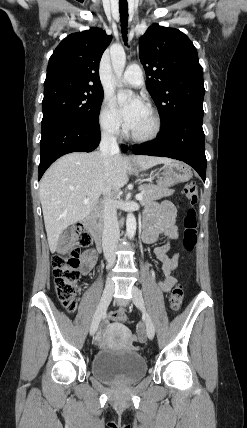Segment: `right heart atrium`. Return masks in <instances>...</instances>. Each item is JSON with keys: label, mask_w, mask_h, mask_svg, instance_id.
Masks as SVG:
<instances>
[{"label": "right heart atrium", "mask_w": 247, "mask_h": 428, "mask_svg": "<svg viewBox=\"0 0 247 428\" xmlns=\"http://www.w3.org/2000/svg\"><path fill=\"white\" fill-rule=\"evenodd\" d=\"M99 124L104 133L118 136L122 132V124L117 110L110 97H105L99 112Z\"/></svg>", "instance_id": "d8ad5b80"}]
</instances>
